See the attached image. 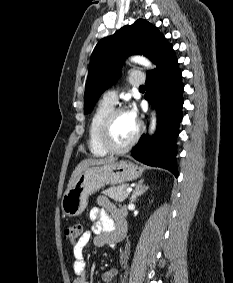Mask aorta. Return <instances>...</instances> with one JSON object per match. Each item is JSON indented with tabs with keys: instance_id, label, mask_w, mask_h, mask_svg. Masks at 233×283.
I'll return each instance as SVG.
<instances>
[{
	"instance_id": "obj_1",
	"label": "aorta",
	"mask_w": 233,
	"mask_h": 283,
	"mask_svg": "<svg viewBox=\"0 0 233 283\" xmlns=\"http://www.w3.org/2000/svg\"><path fill=\"white\" fill-rule=\"evenodd\" d=\"M131 61L138 63L140 65L150 67L151 62L143 56H134L131 58ZM156 129V117L155 114H152L151 125H150V133H153Z\"/></svg>"
}]
</instances>
